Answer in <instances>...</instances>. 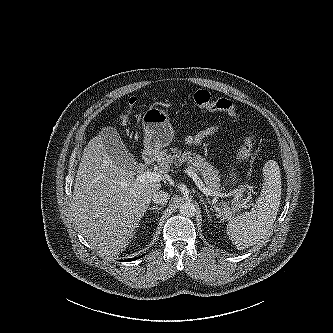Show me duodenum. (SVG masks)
Returning <instances> with one entry per match:
<instances>
[{"label": "duodenum", "mask_w": 333, "mask_h": 333, "mask_svg": "<svg viewBox=\"0 0 333 333\" xmlns=\"http://www.w3.org/2000/svg\"><path fill=\"white\" fill-rule=\"evenodd\" d=\"M155 160V154L152 151L145 152L142 160V167L150 166Z\"/></svg>", "instance_id": "1"}]
</instances>
